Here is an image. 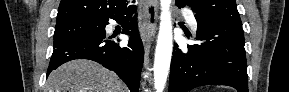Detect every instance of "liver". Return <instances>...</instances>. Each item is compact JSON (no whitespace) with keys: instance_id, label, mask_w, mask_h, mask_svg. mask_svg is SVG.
Listing matches in <instances>:
<instances>
[{"instance_id":"obj_1","label":"liver","mask_w":289,"mask_h":92,"mask_svg":"<svg viewBox=\"0 0 289 92\" xmlns=\"http://www.w3.org/2000/svg\"><path fill=\"white\" fill-rule=\"evenodd\" d=\"M45 92H128L118 76L89 60H74L49 75Z\"/></svg>"}]
</instances>
